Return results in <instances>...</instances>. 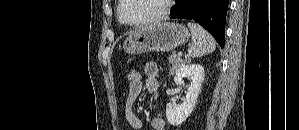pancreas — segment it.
<instances>
[{"label":"pancreas","mask_w":299,"mask_h":130,"mask_svg":"<svg viewBox=\"0 0 299 130\" xmlns=\"http://www.w3.org/2000/svg\"><path fill=\"white\" fill-rule=\"evenodd\" d=\"M169 62L172 65V67L170 68L171 73H173L178 67H180L184 63V61L174 52L169 56Z\"/></svg>","instance_id":"1"}]
</instances>
